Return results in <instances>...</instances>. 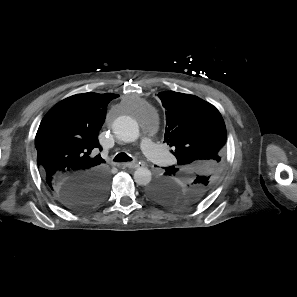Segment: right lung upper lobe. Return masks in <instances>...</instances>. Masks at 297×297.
Instances as JSON below:
<instances>
[{
  "label": "right lung upper lobe",
  "instance_id": "right-lung-upper-lobe-1",
  "mask_svg": "<svg viewBox=\"0 0 297 297\" xmlns=\"http://www.w3.org/2000/svg\"><path fill=\"white\" fill-rule=\"evenodd\" d=\"M117 94L84 93L59 102L38 128L37 162L51 191L92 172H105V161L93 152L108 103Z\"/></svg>",
  "mask_w": 297,
  "mask_h": 297
}]
</instances>
